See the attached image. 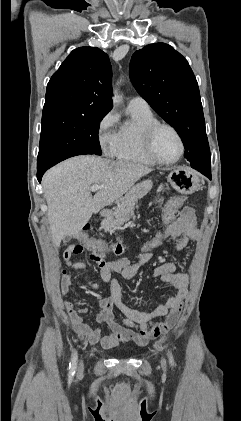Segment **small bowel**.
Masks as SVG:
<instances>
[{
	"instance_id": "obj_1",
	"label": "small bowel",
	"mask_w": 241,
	"mask_h": 421,
	"mask_svg": "<svg viewBox=\"0 0 241 421\" xmlns=\"http://www.w3.org/2000/svg\"><path fill=\"white\" fill-rule=\"evenodd\" d=\"M161 200V198L158 199L159 202ZM198 234L195 212L191 207H185L166 230V238H170L178 250L186 248L190 241L198 238ZM72 255L68 247L63 254L66 264L73 269L85 270L86 264L73 261ZM150 259V252H142L134 263L125 258H119L100 266L101 279L110 284V291L107 296L98 299L101 310L95 321L97 324H106L111 334L102 336L99 326L92 327L84 321L83 315L88 312V308L75 310L71 301H65L63 306L72 329L84 335L91 344L99 343L106 349L127 342L145 346L150 339L157 338L170 330L176 324L182 311L189 282L187 274L176 272L175 263L164 262L154 269V276L170 285L175 292L168 297L165 304L159 305L151 312H144L133 309L122 301V288L115 275L120 274L124 278H132ZM72 285V277L65 276L60 283L61 294L67 295ZM90 285L93 289L98 288L95 283L90 282ZM116 311L123 315L121 322L115 318Z\"/></svg>"
}]
</instances>
